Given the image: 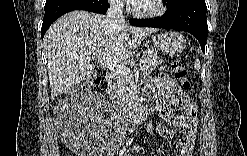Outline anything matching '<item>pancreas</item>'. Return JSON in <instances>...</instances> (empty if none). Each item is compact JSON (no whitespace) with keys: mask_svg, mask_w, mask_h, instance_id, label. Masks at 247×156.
Listing matches in <instances>:
<instances>
[{"mask_svg":"<svg viewBox=\"0 0 247 156\" xmlns=\"http://www.w3.org/2000/svg\"><path fill=\"white\" fill-rule=\"evenodd\" d=\"M162 62L159 57L152 52H148L144 55L143 64L140 66L145 76L150 75L153 70ZM114 86L122 95H128L135 89L136 85L130 75L116 74L113 76Z\"/></svg>","mask_w":247,"mask_h":156,"instance_id":"pancreas-1","label":"pancreas"}]
</instances>
